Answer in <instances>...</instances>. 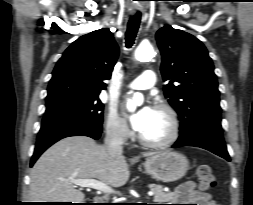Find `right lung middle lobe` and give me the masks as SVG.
Here are the masks:
<instances>
[{
    "instance_id": "dd1d6c3e",
    "label": "right lung middle lobe",
    "mask_w": 253,
    "mask_h": 205,
    "mask_svg": "<svg viewBox=\"0 0 253 205\" xmlns=\"http://www.w3.org/2000/svg\"><path fill=\"white\" fill-rule=\"evenodd\" d=\"M103 104L98 95H72L46 102L42 123L71 121L102 126Z\"/></svg>"
}]
</instances>
